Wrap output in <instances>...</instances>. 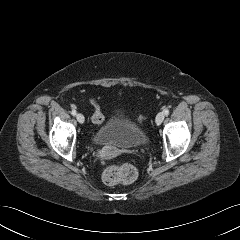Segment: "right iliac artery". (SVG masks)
I'll return each instance as SVG.
<instances>
[{
    "label": "right iliac artery",
    "instance_id": "obj_1",
    "mask_svg": "<svg viewBox=\"0 0 240 240\" xmlns=\"http://www.w3.org/2000/svg\"><path fill=\"white\" fill-rule=\"evenodd\" d=\"M71 114H72L73 116H75V115H76V110H72V111H71Z\"/></svg>",
    "mask_w": 240,
    "mask_h": 240
}]
</instances>
